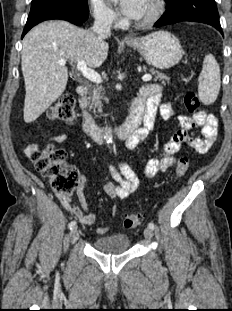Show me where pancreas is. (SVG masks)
Masks as SVG:
<instances>
[{
	"instance_id": "obj_1",
	"label": "pancreas",
	"mask_w": 232,
	"mask_h": 311,
	"mask_svg": "<svg viewBox=\"0 0 232 311\" xmlns=\"http://www.w3.org/2000/svg\"><path fill=\"white\" fill-rule=\"evenodd\" d=\"M152 74H155L154 81H161L162 84H165V81L168 79L167 76L163 73L155 71L154 69H150ZM103 100H107L103 97V90L101 87H94L92 88L88 97L83 98L82 102L89 107V109L97 110L102 112L103 107Z\"/></svg>"
}]
</instances>
